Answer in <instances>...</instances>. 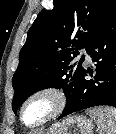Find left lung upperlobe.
I'll list each match as a JSON object with an SVG mask.
<instances>
[{"instance_id": "5c2ea615", "label": "left lung upper lobe", "mask_w": 116, "mask_h": 134, "mask_svg": "<svg viewBox=\"0 0 116 134\" xmlns=\"http://www.w3.org/2000/svg\"><path fill=\"white\" fill-rule=\"evenodd\" d=\"M114 0H54L41 11L27 33L12 85L14 113L32 94L46 88H62L66 103L74 98L83 71L71 61L87 47L104 22Z\"/></svg>"}]
</instances>
